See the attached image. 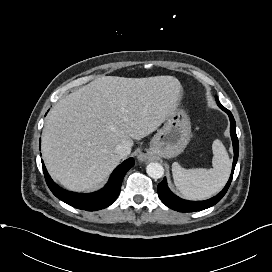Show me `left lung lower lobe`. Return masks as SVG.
I'll return each mask as SVG.
<instances>
[{"mask_svg":"<svg viewBox=\"0 0 272 272\" xmlns=\"http://www.w3.org/2000/svg\"><path fill=\"white\" fill-rule=\"evenodd\" d=\"M217 104L223 111H225L228 114L230 122H231L230 134H231V138L233 142L234 160H233L232 172H231L229 181L227 182L224 189L218 195H216L215 197L211 199H208L205 201H187L173 194L167 186L166 178H164L163 181L159 183L158 185V195H159V198L167 207L175 211H179V212L201 211L215 205L226 194L230 186V183L232 181L233 173H234L235 165L238 160V153H239V143H238V138L236 135V123L231 112L227 110L224 106H222L218 100H217Z\"/></svg>","mask_w":272,"mask_h":272,"instance_id":"obj_1","label":"left lung lower lobe"}]
</instances>
